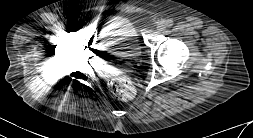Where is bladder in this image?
<instances>
[{"label": "bladder", "instance_id": "31cf9c89", "mask_svg": "<svg viewBox=\"0 0 253 138\" xmlns=\"http://www.w3.org/2000/svg\"><path fill=\"white\" fill-rule=\"evenodd\" d=\"M100 42L103 50L126 60L137 59L142 53L136 26L126 19L109 21L100 33Z\"/></svg>", "mask_w": 253, "mask_h": 138}]
</instances>
